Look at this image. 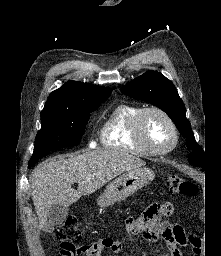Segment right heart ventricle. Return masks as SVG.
Masks as SVG:
<instances>
[{
  "label": "right heart ventricle",
  "mask_w": 221,
  "mask_h": 256,
  "mask_svg": "<svg viewBox=\"0 0 221 256\" xmlns=\"http://www.w3.org/2000/svg\"><path fill=\"white\" fill-rule=\"evenodd\" d=\"M143 108L134 104H119L105 117L100 129V141L106 148L135 155L149 156L134 138L133 128L137 115Z\"/></svg>",
  "instance_id": "e07e8e85"
}]
</instances>
